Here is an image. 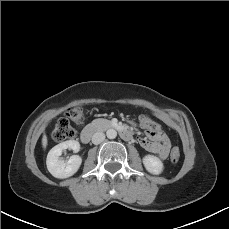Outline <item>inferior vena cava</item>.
Instances as JSON below:
<instances>
[{"label": "inferior vena cava", "instance_id": "obj_1", "mask_svg": "<svg viewBox=\"0 0 229 229\" xmlns=\"http://www.w3.org/2000/svg\"><path fill=\"white\" fill-rule=\"evenodd\" d=\"M105 140V134L103 132H96L92 136V143L95 145L100 144Z\"/></svg>", "mask_w": 229, "mask_h": 229}]
</instances>
